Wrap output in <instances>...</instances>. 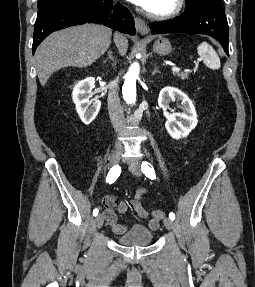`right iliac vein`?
<instances>
[{"mask_svg":"<svg viewBox=\"0 0 255 287\" xmlns=\"http://www.w3.org/2000/svg\"><path fill=\"white\" fill-rule=\"evenodd\" d=\"M122 152H123L122 148H116L112 152V154L110 155V158H109L111 165L118 164V162L121 158ZM103 223H104V217L102 214H99L95 219V226L99 229L102 227Z\"/></svg>","mask_w":255,"mask_h":287,"instance_id":"obj_1","label":"right iliac vein"}]
</instances>
